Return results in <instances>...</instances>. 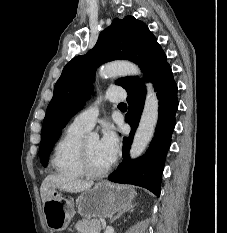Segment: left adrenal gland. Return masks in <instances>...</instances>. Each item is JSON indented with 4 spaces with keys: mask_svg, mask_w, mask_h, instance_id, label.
Returning a JSON list of instances; mask_svg holds the SVG:
<instances>
[{
    "mask_svg": "<svg viewBox=\"0 0 227 233\" xmlns=\"http://www.w3.org/2000/svg\"><path fill=\"white\" fill-rule=\"evenodd\" d=\"M135 205H131L129 206L127 209L123 210L122 212H120L116 217H114L112 220H111V223H113L115 220H117L123 213H125L126 211H130L131 209H133Z\"/></svg>",
    "mask_w": 227,
    "mask_h": 233,
    "instance_id": "1",
    "label": "left adrenal gland"
}]
</instances>
